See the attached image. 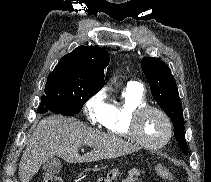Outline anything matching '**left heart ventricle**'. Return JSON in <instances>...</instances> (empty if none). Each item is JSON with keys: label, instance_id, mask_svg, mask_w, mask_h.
Returning <instances> with one entry per match:
<instances>
[{"label": "left heart ventricle", "instance_id": "obj_1", "mask_svg": "<svg viewBox=\"0 0 211 182\" xmlns=\"http://www.w3.org/2000/svg\"><path fill=\"white\" fill-rule=\"evenodd\" d=\"M141 138L150 144L160 143L167 134V125L164 119L157 112L145 113L139 122Z\"/></svg>", "mask_w": 211, "mask_h": 182}]
</instances>
